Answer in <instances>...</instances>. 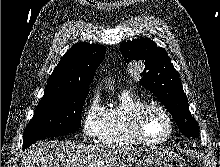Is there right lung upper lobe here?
Segmentation results:
<instances>
[{"label":"right lung upper lobe","instance_id":"1","mask_svg":"<svg viewBox=\"0 0 220 167\" xmlns=\"http://www.w3.org/2000/svg\"><path fill=\"white\" fill-rule=\"evenodd\" d=\"M106 48L98 44L80 42L61 58L48 78L42 99L69 91L89 89L95 71L103 61Z\"/></svg>","mask_w":220,"mask_h":167}]
</instances>
